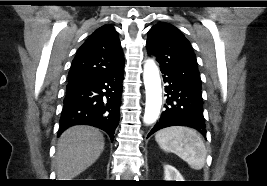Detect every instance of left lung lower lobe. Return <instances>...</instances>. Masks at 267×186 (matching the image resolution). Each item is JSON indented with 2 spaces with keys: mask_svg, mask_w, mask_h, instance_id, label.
<instances>
[{
  "mask_svg": "<svg viewBox=\"0 0 267 186\" xmlns=\"http://www.w3.org/2000/svg\"><path fill=\"white\" fill-rule=\"evenodd\" d=\"M161 72L164 82L167 83V104L148 137L162 128L176 125L192 127L206 137L201 87L185 81L169 70Z\"/></svg>",
  "mask_w": 267,
  "mask_h": 186,
  "instance_id": "0a47b994",
  "label": "left lung lower lobe"
}]
</instances>
